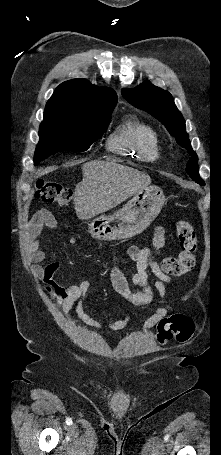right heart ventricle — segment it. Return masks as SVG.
Wrapping results in <instances>:
<instances>
[{
    "label": "right heart ventricle",
    "instance_id": "e07e8e85",
    "mask_svg": "<svg viewBox=\"0 0 221 455\" xmlns=\"http://www.w3.org/2000/svg\"><path fill=\"white\" fill-rule=\"evenodd\" d=\"M108 149L119 155H132L142 161L156 160L161 151L159 135L150 124L135 117L125 119L110 135Z\"/></svg>",
    "mask_w": 221,
    "mask_h": 455
}]
</instances>
